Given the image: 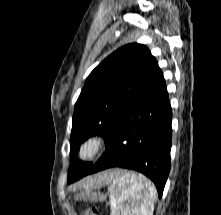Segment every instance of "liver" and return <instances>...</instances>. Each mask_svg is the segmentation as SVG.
<instances>
[{
  "label": "liver",
  "instance_id": "obj_1",
  "mask_svg": "<svg viewBox=\"0 0 221 215\" xmlns=\"http://www.w3.org/2000/svg\"><path fill=\"white\" fill-rule=\"evenodd\" d=\"M116 173V170H110L96 174L94 176L82 180L77 186H75V188L93 189L96 187H101L111 182L112 178Z\"/></svg>",
  "mask_w": 221,
  "mask_h": 215
}]
</instances>
